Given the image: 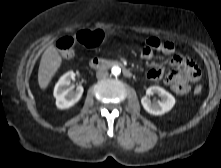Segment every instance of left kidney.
<instances>
[{
    "instance_id": "left-kidney-1",
    "label": "left kidney",
    "mask_w": 221,
    "mask_h": 168,
    "mask_svg": "<svg viewBox=\"0 0 221 168\" xmlns=\"http://www.w3.org/2000/svg\"><path fill=\"white\" fill-rule=\"evenodd\" d=\"M157 94L161 97V101L151 102L150 95ZM175 98L162 87L151 86L146 90V96L141 99L143 108L152 115L158 116L167 113L175 105Z\"/></svg>"
}]
</instances>
